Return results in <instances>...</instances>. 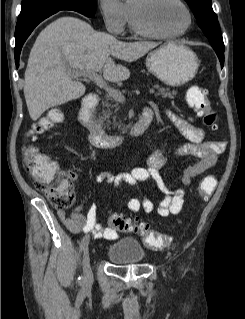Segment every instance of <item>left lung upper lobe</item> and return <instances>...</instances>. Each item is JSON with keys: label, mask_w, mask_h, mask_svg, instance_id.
I'll use <instances>...</instances> for the list:
<instances>
[{"label": "left lung upper lobe", "mask_w": 245, "mask_h": 319, "mask_svg": "<svg viewBox=\"0 0 245 319\" xmlns=\"http://www.w3.org/2000/svg\"><path fill=\"white\" fill-rule=\"evenodd\" d=\"M192 9L197 23L208 38L212 47L224 51L223 38L218 25L217 15L214 13L211 0H185Z\"/></svg>", "instance_id": "1"}]
</instances>
